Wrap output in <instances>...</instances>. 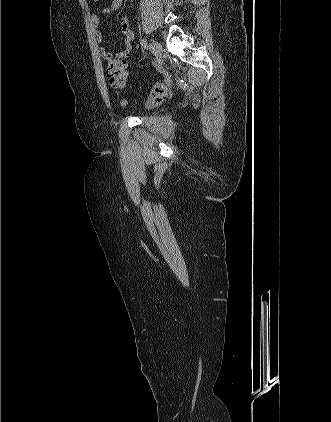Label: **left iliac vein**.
<instances>
[{
    "mask_svg": "<svg viewBox=\"0 0 331 422\" xmlns=\"http://www.w3.org/2000/svg\"><path fill=\"white\" fill-rule=\"evenodd\" d=\"M151 47L156 58H160L162 55V45L159 42L152 40Z\"/></svg>",
    "mask_w": 331,
    "mask_h": 422,
    "instance_id": "obj_1",
    "label": "left iliac vein"
}]
</instances>
